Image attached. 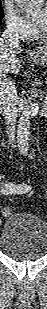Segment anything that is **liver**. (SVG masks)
Listing matches in <instances>:
<instances>
[{
	"instance_id": "obj_1",
	"label": "liver",
	"mask_w": 47,
	"mask_h": 309,
	"mask_svg": "<svg viewBox=\"0 0 47 309\" xmlns=\"http://www.w3.org/2000/svg\"><path fill=\"white\" fill-rule=\"evenodd\" d=\"M21 52L20 47L10 45L0 38V78H4V74H17L20 71V60L16 57Z\"/></svg>"
}]
</instances>
